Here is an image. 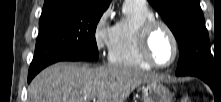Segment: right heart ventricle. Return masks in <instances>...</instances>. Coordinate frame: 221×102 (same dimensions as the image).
Here are the masks:
<instances>
[{"label": "right heart ventricle", "instance_id": "obj_1", "mask_svg": "<svg viewBox=\"0 0 221 102\" xmlns=\"http://www.w3.org/2000/svg\"><path fill=\"white\" fill-rule=\"evenodd\" d=\"M156 19L146 3L128 0L123 5L122 15L114 25L109 51V62L116 66L140 68L151 67L140 56L138 34L144 23Z\"/></svg>", "mask_w": 221, "mask_h": 102}]
</instances>
